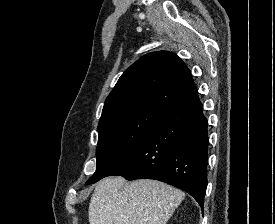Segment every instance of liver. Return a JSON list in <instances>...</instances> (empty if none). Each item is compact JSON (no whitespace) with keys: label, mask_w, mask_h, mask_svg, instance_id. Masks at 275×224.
Wrapping results in <instances>:
<instances>
[{"label":"liver","mask_w":275,"mask_h":224,"mask_svg":"<svg viewBox=\"0 0 275 224\" xmlns=\"http://www.w3.org/2000/svg\"><path fill=\"white\" fill-rule=\"evenodd\" d=\"M185 194L150 179L127 183L121 176L96 184L89 204L90 224H166Z\"/></svg>","instance_id":"6515ba94"}]
</instances>
